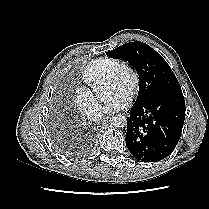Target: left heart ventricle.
Returning a JSON list of instances; mask_svg holds the SVG:
<instances>
[{"instance_id":"b2bd125f","label":"left heart ventricle","mask_w":209,"mask_h":209,"mask_svg":"<svg viewBox=\"0 0 209 209\" xmlns=\"http://www.w3.org/2000/svg\"><path fill=\"white\" fill-rule=\"evenodd\" d=\"M130 82L128 73H123L117 82H109L106 84L107 95L110 96L115 92H124L127 94V87ZM128 95V94H127Z\"/></svg>"}]
</instances>
